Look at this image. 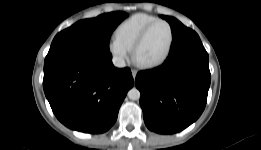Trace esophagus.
<instances>
[{
  "instance_id": "1",
  "label": "esophagus",
  "mask_w": 261,
  "mask_h": 150,
  "mask_svg": "<svg viewBox=\"0 0 261 150\" xmlns=\"http://www.w3.org/2000/svg\"><path fill=\"white\" fill-rule=\"evenodd\" d=\"M131 73H132L133 78L135 79V78H136V75H137V70L132 69V70H131Z\"/></svg>"
}]
</instances>
